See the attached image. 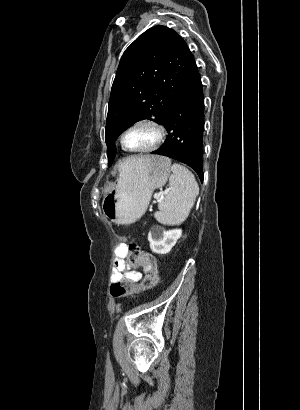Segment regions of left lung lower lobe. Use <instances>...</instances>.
<instances>
[{"mask_svg":"<svg viewBox=\"0 0 300 410\" xmlns=\"http://www.w3.org/2000/svg\"><path fill=\"white\" fill-rule=\"evenodd\" d=\"M161 124L168 137L152 153L187 164L203 180L204 95L196 64Z\"/></svg>","mask_w":300,"mask_h":410,"instance_id":"left-lung-lower-lobe-1","label":"left lung lower lobe"}]
</instances>
